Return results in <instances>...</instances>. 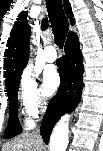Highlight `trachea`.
Returning a JSON list of instances; mask_svg holds the SVG:
<instances>
[{
  "label": "trachea",
  "mask_w": 103,
  "mask_h": 151,
  "mask_svg": "<svg viewBox=\"0 0 103 151\" xmlns=\"http://www.w3.org/2000/svg\"><path fill=\"white\" fill-rule=\"evenodd\" d=\"M51 27L55 36L54 40L62 48L69 30V22L65 16L61 0H45Z\"/></svg>",
  "instance_id": "trachea-1"
}]
</instances>
